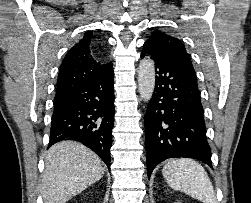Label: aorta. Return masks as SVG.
I'll use <instances>...</instances> for the list:
<instances>
[{"label":"aorta","mask_w":251,"mask_h":203,"mask_svg":"<svg viewBox=\"0 0 251 203\" xmlns=\"http://www.w3.org/2000/svg\"><path fill=\"white\" fill-rule=\"evenodd\" d=\"M138 86L141 99L145 102L150 101L155 88V68L154 62L149 58H144L140 62Z\"/></svg>","instance_id":"762f6f07"}]
</instances>
